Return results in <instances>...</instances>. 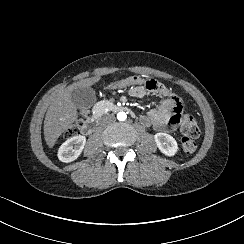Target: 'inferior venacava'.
I'll return each instance as SVG.
<instances>
[{
  "instance_id": "1",
  "label": "inferior vena cava",
  "mask_w": 244,
  "mask_h": 244,
  "mask_svg": "<svg viewBox=\"0 0 244 244\" xmlns=\"http://www.w3.org/2000/svg\"><path fill=\"white\" fill-rule=\"evenodd\" d=\"M107 119H108V120L113 119V120L115 121V117H114L113 115H108V116H107Z\"/></svg>"
}]
</instances>
